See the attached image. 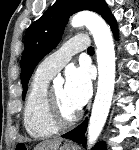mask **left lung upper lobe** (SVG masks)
<instances>
[{"label":"left lung upper lobe","mask_w":139,"mask_h":150,"mask_svg":"<svg viewBox=\"0 0 139 150\" xmlns=\"http://www.w3.org/2000/svg\"><path fill=\"white\" fill-rule=\"evenodd\" d=\"M81 10L97 12L103 18L110 11L104 0H57L27 29L25 49L20 62L23 98L35 67L46 54L57 46L69 16Z\"/></svg>","instance_id":"left-lung-upper-lobe-1"}]
</instances>
